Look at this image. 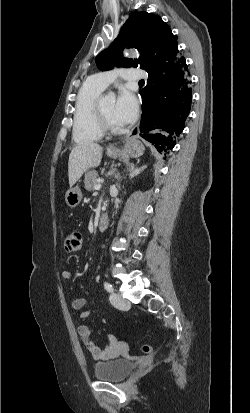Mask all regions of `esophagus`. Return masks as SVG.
<instances>
[{
    "label": "esophagus",
    "mask_w": 250,
    "mask_h": 413,
    "mask_svg": "<svg viewBox=\"0 0 250 413\" xmlns=\"http://www.w3.org/2000/svg\"><path fill=\"white\" fill-rule=\"evenodd\" d=\"M138 134H139V126L136 125V126L131 130V132L126 136L125 139L127 140V139H130V138L136 137ZM119 148H120V143H119V142H115V143H113V144H110V145L108 146L107 150H108V151H111V152H117V151L119 150Z\"/></svg>",
    "instance_id": "34e87169"
}]
</instances>
